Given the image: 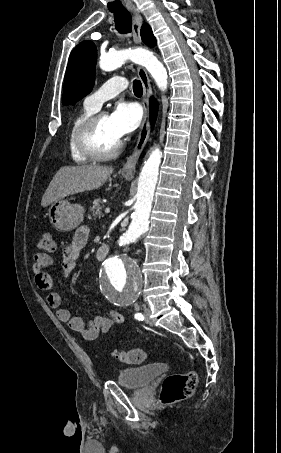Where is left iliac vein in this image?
Returning a JSON list of instances; mask_svg holds the SVG:
<instances>
[{
    "mask_svg": "<svg viewBox=\"0 0 281 453\" xmlns=\"http://www.w3.org/2000/svg\"><path fill=\"white\" fill-rule=\"evenodd\" d=\"M145 312H144V319H145V322L148 324V325H151L152 324V321L150 320V317L149 315L151 314V311L148 310V308H144Z\"/></svg>",
    "mask_w": 281,
    "mask_h": 453,
    "instance_id": "obj_1",
    "label": "left iliac vein"
}]
</instances>
